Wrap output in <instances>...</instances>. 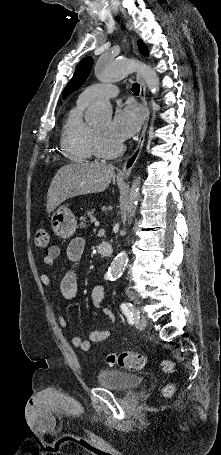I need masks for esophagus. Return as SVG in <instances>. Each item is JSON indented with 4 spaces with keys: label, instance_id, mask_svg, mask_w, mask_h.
<instances>
[{
    "label": "esophagus",
    "instance_id": "1",
    "mask_svg": "<svg viewBox=\"0 0 221 455\" xmlns=\"http://www.w3.org/2000/svg\"><path fill=\"white\" fill-rule=\"evenodd\" d=\"M137 80H138L139 85H140L141 100H142V103H143L144 108H145V121H144L143 128H142V131H141V135H140V138H139L138 146L135 149V151L133 152V154L124 163L122 172L118 176L119 179H126L130 175L131 170L134 167V165H135V163H136V161H137V159H138V157H139V155L141 153V150L143 148V144H144V140H145V134H146V130H147V127H148L150 110H149V106H148L147 99H146V87H145L144 80H143V78H142V76L140 74H137Z\"/></svg>",
    "mask_w": 221,
    "mask_h": 455
}]
</instances>
